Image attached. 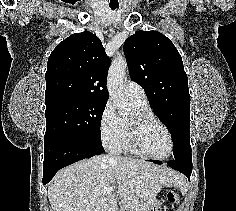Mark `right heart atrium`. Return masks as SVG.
Wrapping results in <instances>:
<instances>
[{
	"instance_id": "d8ad5b80",
	"label": "right heart atrium",
	"mask_w": 236,
	"mask_h": 211,
	"mask_svg": "<svg viewBox=\"0 0 236 211\" xmlns=\"http://www.w3.org/2000/svg\"><path fill=\"white\" fill-rule=\"evenodd\" d=\"M121 130V119L117 115L113 104L108 101L99 118V134L102 144L113 149L120 137Z\"/></svg>"
}]
</instances>
